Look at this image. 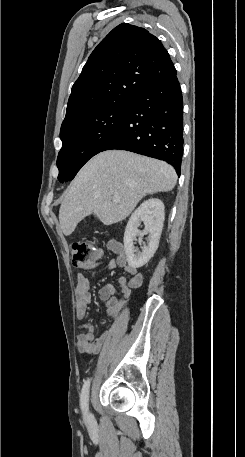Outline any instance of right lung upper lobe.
Listing matches in <instances>:
<instances>
[{
  "mask_svg": "<svg viewBox=\"0 0 245 457\" xmlns=\"http://www.w3.org/2000/svg\"><path fill=\"white\" fill-rule=\"evenodd\" d=\"M174 73V64L157 37L122 23L88 58L72 87L63 123L117 100L132 101L148 84Z\"/></svg>",
  "mask_w": 245,
  "mask_h": 457,
  "instance_id": "1",
  "label": "right lung upper lobe"
}]
</instances>
